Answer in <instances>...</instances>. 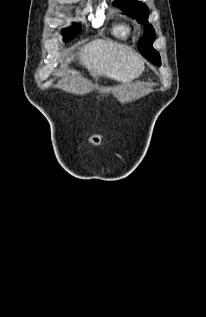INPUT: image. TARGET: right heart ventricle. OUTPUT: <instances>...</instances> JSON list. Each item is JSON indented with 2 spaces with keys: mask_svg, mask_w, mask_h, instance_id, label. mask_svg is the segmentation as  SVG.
<instances>
[{
  "mask_svg": "<svg viewBox=\"0 0 206 317\" xmlns=\"http://www.w3.org/2000/svg\"><path fill=\"white\" fill-rule=\"evenodd\" d=\"M130 32L131 28L129 24L123 20H117L112 25V34L119 39L127 38Z\"/></svg>",
  "mask_w": 206,
  "mask_h": 317,
  "instance_id": "obj_1",
  "label": "right heart ventricle"
}]
</instances>
